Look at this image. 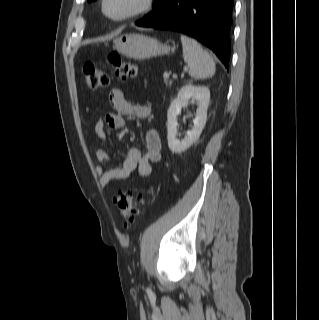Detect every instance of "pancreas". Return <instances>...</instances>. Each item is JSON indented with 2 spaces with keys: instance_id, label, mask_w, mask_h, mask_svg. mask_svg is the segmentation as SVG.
<instances>
[{
  "instance_id": "cf45deb5",
  "label": "pancreas",
  "mask_w": 319,
  "mask_h": 320,
  "mask_svg": "<svg viewBox=\"0 0 319 320\" xmlns=\"http://www.w3.org/2000/svg\"><path fill=\"white\" fill-rule=\"evenodd\" d=\"M164 82L166 83V85H168V84H169L168 79H165V78H164Z\"/></svg>"
}]
</instances>
